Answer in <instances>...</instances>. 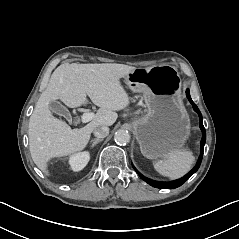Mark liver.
Instances as JSON below:
<instances>
[{
	"label": "liver",
	"instance_id": "liver-1",
	"mask_svg": "<svg viewBox=\"0 0 239 239\" xmlns=\"http://www.w3.org/2000/svg\"><path fill=\"white\" fill-rule=\"evenodd\" d=\"M135 69L116 63H65L55 69L29 120L30 153L41 171L48 174L46 163L50 158L83 150L97 126L115 123L118 118L115 111L126 108L130 103L119 80ZM86 96L100 109L83 128L71 129L49 110L50 101L60 99L66 106L76 108L86 102Z\"/></svg>",
	"mask_w": 239,
	"mask_h": 239
}]
</instances>
